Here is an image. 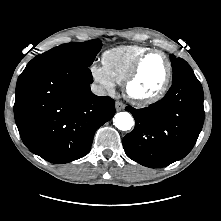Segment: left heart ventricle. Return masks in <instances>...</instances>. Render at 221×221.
Masks as SVG:
<instances>
[{
    "label": "left heart ventricle",
    "instance_id": "obj_1",
    "mask_svg": "<svg viewBox=\"0 0 221 221\" xmlns=\"http://www.w3.org/2000/svg\"><path fill=\"white\" fill-rule=\"evenodd\" d=\"M167 73V63L161 54L148 56L140 72L132 84L131 90L139 96H146L157 92L162 86Z\"/></svg>",
    "mask_w": 221,
    "mask_h": 221
}]
</instances>
